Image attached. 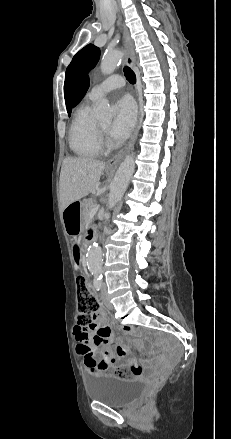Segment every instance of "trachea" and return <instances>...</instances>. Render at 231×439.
Segmentation results:
<instances>
[{
	"instance_id": "1",
	"label": "trachea",
	"mask_w": 231,
	"mask_h": 439,
	"mask_svg": "<svg viewBox=\"0 0 231 439\" xmlns=\"http://www.w3.org/2000/svg\"><path fill=\"white\" fill-rule=\"evenodd\" d=\"M123 71H124V75H125L126 79L131 84H135L136 83V75H135V73L128 66H125Z\"/></svg>"
}]
</instances>
